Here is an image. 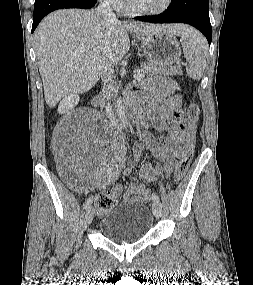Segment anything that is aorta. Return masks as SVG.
Instances as JSON below:
<instances>
[{"label":"aorta","mask_w":253,"mask_h":285,"mask_svg":"<svg viewBox=\"0 0 253 285\" xmlns=\"http://www.w3.org/2000/svg\"><path fill=\"white\" fill-rule=\"evenodd\" d=\"M115 112L118 117V120L122 127L127 128L128 127V122L126 119L125 111H124V106L122 104L121 98L117 100V103L115 105Z\"/></svg>","instance_id":"1"}]
</instances>
